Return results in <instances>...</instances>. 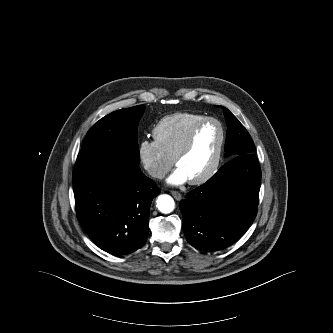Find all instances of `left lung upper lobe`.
<instances>
[{
  "mask_svg": "<svg viewBox=\"0 0 333 333\" xmlns=\"http://www.w3.org/2000/svg\"><path fill=\"white\" fill-rule=\"evenodd\" d=\"M222 108L228 125L224 148L226 156L232 158L241 154L254 153L255 145L247 130L227 108Z\"/></svg>",
  "mask_w": 333,
  "mask_h": 333,
  "instance_id": "1",
  "label": "left lung upper lobe"
}]
</instances>
